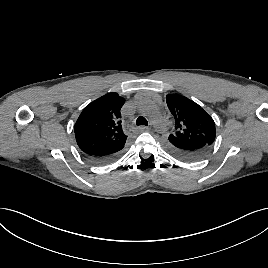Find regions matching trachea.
I'll return each mask as SVG.
<instances>
[{
  "label": "trachea",
  "mask_w": 268,
  "mask_h": 268,
  "mask_svg": "<svg viewBox=\"0 0 268 268\" xmlns=\"http://www.w3.org/2000/svg\"><path fill=\"white\" fill-rule=\"evenodd\" d=\"M136 125H145V126H147L148 121L143 116H140L136 120Z\"/></svg>",
  "instance_id": "trachea-1"
}]
</instances>
